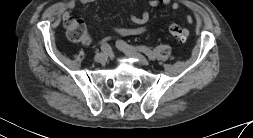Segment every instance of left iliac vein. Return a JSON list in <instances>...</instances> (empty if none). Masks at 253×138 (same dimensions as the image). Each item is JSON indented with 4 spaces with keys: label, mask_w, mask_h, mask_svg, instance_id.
Instances as JSON below:
<instances>
[{
    "label": "left iliac vein",
    "mask_w": 253,
    "mask_h": 138,
    "mask_svg": "<svg viewBox=\"0 0 253 138\" xmlns=\"http://www.w3.org/2000/svg\"><path fill=\"white\" fill-rule=\"evenodd\" d=\"M119 48V47H118ZM120 50H122L125 54H127L130 57H134L135 59H137L139 61V63L146 65L148 63V60L140 53L134 51V50H124L119 48Z\"/></svg>",
    "instance_id": "obj_1"
}]
</instances>
